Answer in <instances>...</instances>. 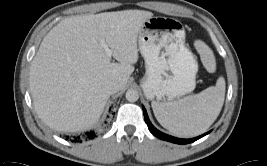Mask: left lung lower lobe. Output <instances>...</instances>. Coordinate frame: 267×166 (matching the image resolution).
I'll return each instance as SVG.
<instances>
[{"label":"left lung lower lobe","mask_w":267,"mask_h":166,"mask_svg":"<svg viewBox=\"0 0 267 166\" xmlns=\"http://www.w3.org/2000/svg\"><path fill=\"white\" fill-rule=\"evenodd\" d=\"M143 113H144V118H145V122L147 123V126H148V129L150 130V132L155 135L156 137H158L159 139H162V140H165V141H169V142H172V143H176V144H188V143H192L198 139H200L201 137L205 136L206 134H208L209 132L201 135V136H198V137H195V138H192V139H180V138H175L173 136H170V135H167V134H164L162 132H160L159 130H157L150 122L149 118H148V115H147V112L145 110V108L143 107Z\"/></svg>","instance_id":"obj_1"}]
</instances>
